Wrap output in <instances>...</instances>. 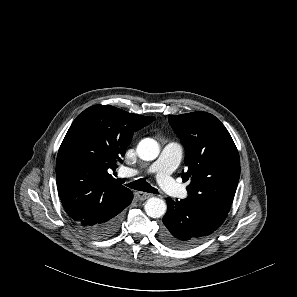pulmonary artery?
I'll return each instance as SVG.
<instances>
[{
	"instance_id": "pulmonary-artery-1",
	"label": "pulmonary artery",
	"mask_w": 297,
	"mask_h": 297,
	"mask_svg": "<svg viewBox=\"0 0 297 297\" xmlns=\"http://www.w3.org/2000/svg\"><path fill=\"white\" fill-rule=\"evenodd\" d=\"M183 156V146L178 142L167 143L158 159L147 169V174H154L161 189L176 198L187 197V190L177 184L171 177V173L179 165ZM140 174L137 170H129L128 176Z\"/></svg>"
}]
</instances>
